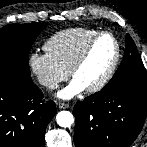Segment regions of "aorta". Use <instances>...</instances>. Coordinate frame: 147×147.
<instances>
[{
	"instance_id": "1",
	"label": "aorta",
	"mask_w": 147,
	"mask_h": 147,
	"mask_svg": "<svg viewBox=\"0 0 147 147\" xmlns=\"http://www.w3.org/2000/svg\"><path fill=\"white\" fill-rule=\"evenodd\" d=\"M57 124L61 127L68 128L74 122V116L69 111H60L56 116Z\"/></svg>"
}]
</instances>
